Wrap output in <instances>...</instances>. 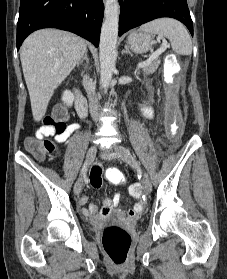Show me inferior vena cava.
Returning <instances> with one entry per match:
<instances>
[{
    "label": "inferior vena cava",
    "mask_w": 227,
    "mask_h": 279,
    "mask_svg": "<svg viewBox=\"0 0 227 279\" xmlns=\"http://www.w3.org/2000/svg\"><path fill=\"white\" fill-rule=\"evenodd\" d=\"M83 85L87 91L90 112L92 116L96 119V115L98 111V99L95 93V85L87 75L83 77Z\"/></svg>",
    "instance_id": "602c4592"
}]
</instances>
